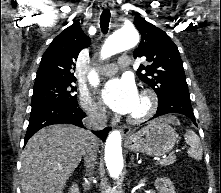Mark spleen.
Masks as SVG:
<instances>
[{"label": "spleen", "mask_w": 221, "mask_h": 193, "mask_svg": "<svg viewBox=\"0 0 221 193\" xmlns=\"http://www.w3.org/2000/svg\"><path fill=\"white\" fill-rule=\"evenodd\" d=\"M184 139L185 142L190 146L188 150L189 156L196 160H200L203 155V149L197 134L192 130H186Z\"/></svg>", "instance_id": "1"}]
</instances>
